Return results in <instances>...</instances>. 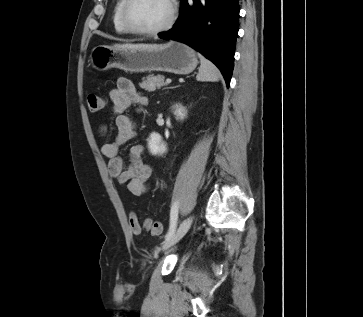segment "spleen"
Here are the masks:
<instances>
[{
	"mask_svg": "<svg viewBox=\"0 0 363 317\" xmlns=\"http://www.w3.org/2000/svg\"><path fill=\"white\" fill-rule=\"evenodd\" d=\"M200 58V68L196 76L197 81H218L220 78V71L218 68L203 55L198 54Z\"/></svg>",
	"mask_w": 363,
	"mask_h": 317,
	"instance_id": "obj_1",
	"label": "spleen"
}]
</instances>
